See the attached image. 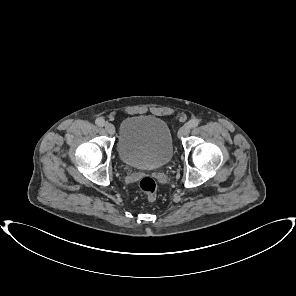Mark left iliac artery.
<instances>
[{
    "label": "left iliac artery",
    "instance_id": "obj_1",
    "mask_svg": "<svg viewBox=\"0 0 296 296\" xmlns=\"http://www.w3.org/2000/svg\"><path fill=\"white\" fill-rule=\"evenodd\" d=\"M200 123V121L198 119H191L189 122H188V125L191 127V128H194L196 126H198Z\"/></svg>",
    "mask_w": 296,
    "mask_h": 296
}]
</instances>
